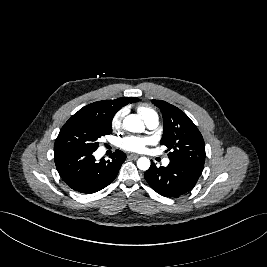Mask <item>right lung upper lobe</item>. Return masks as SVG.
Masks as SVG:
<instances>
[{"mask_svg":"<svg viewBox=\"0 0 267 267\" xmlns=\"http://www.w3.org/2000/svg\"><path fill=\"white\" fill-rule=\"evenodd\" d=\"M137 101L138 98L136 97H125V98H118L115 100H104V101L94 102L81 108L71 118L73 119L101 118L112 121L114 115L118 110H120L123 106L129 103Z\"/></svg>","mask_w":267,"mask_h":267,"instance_id":"right-lung-upper-lobe-1","label":"right lung upper lobe"}]
</instances>
